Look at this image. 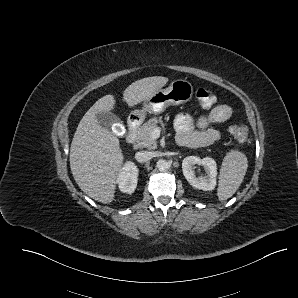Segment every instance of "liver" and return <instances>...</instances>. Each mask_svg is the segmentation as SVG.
<instances>
[{"mask_svg": "<svg viewBox=\"0 0 298 298\" xmlns=\"http://www.w3.org/2000/svg\"><path fill=\"white\" fill-rule=\"evenodd\" d=\"M164 76L142 78L123 93L129 107L148 100L168 83ZM115 98L108 94L97 100L80 120L71 142L69 161L74 180L90 198L108 204L114 199L124 156L117 136L101 127L96 114L114 109Z\"/></svg>", "mask_w": 298, "mask_h": 298, "instance_id": "1", "label": "liver"}]
</instances>
